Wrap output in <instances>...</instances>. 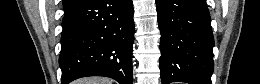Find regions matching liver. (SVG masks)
<instances>
[{
  "label": "liver",
  "instance_id": "6515ba94",
  "mask_svg": "<svg viewBox=\"0 0 260 84\" xmlns=\"http://www.w3.org/2000/svg\"><path fill=\"white\" fill-rule=\"evenodd\" d=\"M112 80L105 77H89L79 79L75 84H112Z\"/></svg>",
  "mask_w": 260,
  "mask_h": 84
}]
</instances>
